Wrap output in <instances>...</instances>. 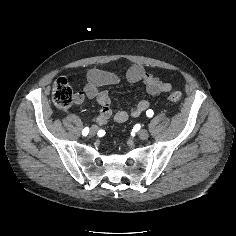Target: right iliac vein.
I'll list each match as a JSON object with an SVG mask.
<instances>
[{"instance_id":"obj_1","label":"right iliac vein","mask_w":236,"mask_h":236,"mask_svg":"<svg viewBox=\"0 0 236 236\" xmlns=\"http://www.w3.org/2000/svg\"><path fill=\"white\" fill-rule=\"evenodd\" d=\"M97 131H98V127L97 126H92L91 129H90L89 135L90 136H95Z\"/></svg>"}]
</instances>
